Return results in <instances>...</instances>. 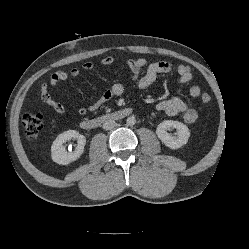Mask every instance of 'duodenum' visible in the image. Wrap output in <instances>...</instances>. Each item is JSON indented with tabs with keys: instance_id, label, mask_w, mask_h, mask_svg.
<instances>
[{
	"instance_id": "duodenum-1",
	"label": "duodenum",
	"mask_w": 249,
	"mask_h": 249,
	"mask_svg": "<svg viewBox=\"0 0 249 249\" xmlns=\"http://www.w3.org/2000/svg\"><path fill=\"white\" fill-rule=\"evenodd\" d=\"M133 112L130 107H124L113 112L104 113L94 118L84 119L80 123V127L84 130H92L99 127L101 124L108 120H121L129 116Z\"/></svg>"
}]
</instances>
